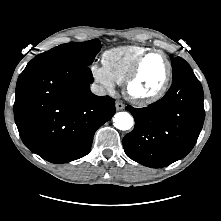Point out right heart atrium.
Segmentation results:
<instances>
[{"mask_svg":"<svg viewBox=\"0 0 221 221\" xmlns=\"http://www.w3.org/2000/svg\"><path fill=\"white\" fill-rule=\"evenodd\" d=\"M90 73L94 81L98 83L104 90H106L108 93H112L114 91L115 84L103 66L93 64L90 67Z\"/></svg>","mask_w":221,"mask_h":221,"instance_id":"1","label":"right heart atrium"}]
</instances>
